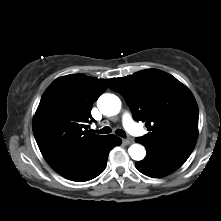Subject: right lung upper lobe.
Instances as JSON below:
<instances>
[{
  "instance_id": "right-lung-upper-lobe-1",
  "label": "right lung upper lobe",
  "mask_w": 221,
  "mask_h": 221,
  "mask_svg": "<svg viewBox=\"0 0 221 221\" xmlns=\"http://www.w3.org/2000/svg\"><path fill=\"white\" fill-rule=\"evenodd\" d=\"M112 79L71 74L54 80L42 95L33 118L38 147L51 166L87 151L106 136L88 131L93 103Z\"/></svg>"
}]
</instances>
